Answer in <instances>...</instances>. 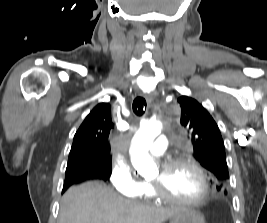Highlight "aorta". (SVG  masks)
<instances>
[{
	"label": "aorta",
	"mask_w": 267,
	"mask_h": 223,
	"mask_svg": "<svg viewBox=\"0 0 267 223\" xmlns=\"http://www.w3.org/2000/svg\"><path fill=\"white\" fill-rule=\"evenodd\" d=\"M162 124L149 121L140 126L130 148L131 162L136 171L146 177L157 172V166L148 154L153 140L161 133Z\"/></svg>",
	"instance_id": "762f6f07"
}]
</instances>
